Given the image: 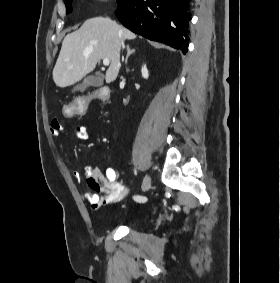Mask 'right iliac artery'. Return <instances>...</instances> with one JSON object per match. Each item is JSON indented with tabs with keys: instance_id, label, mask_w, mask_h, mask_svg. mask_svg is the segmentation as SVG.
<instances>
[{
	"instance_id": "obj_1",
	"label": "right iliac artery",
	"mask_w": 280,
	"mask_h": 283,
	"mask_svg": "<svg viewBox=\"0 0 280 283\" xmlns=\"http://www.w3.org/2000/svg\"><path fill=\"white\" fill-rule=\"evenodd\" d=\"M135 201L139 202V203H144L147 201V198L144 196H140V195H136L133 197Z\"/></svg>"
}]
</instances>
